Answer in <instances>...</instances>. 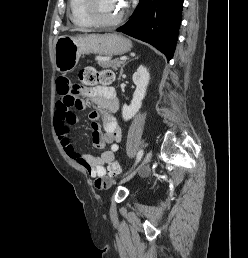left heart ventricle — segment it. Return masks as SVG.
I'll list each match as a JSON object with an SVG mask.
<instances>
[{
	"label": "left heart ventricle",
	"instance_id": "1",
	"mask_svg": "<svg viewBox=\"0 0 248 258\" xmlns=\"http://www.w3.org/2000/svg\"><path fill=\"white\" fill-rule=\"evenodd\" d=\"M123 5L119 0H96L95 13L103 20H113L123 11Z\"/></svg>",
	"mask_w": 248,
	"mask_h": 258
}]
</instances>
